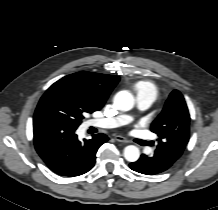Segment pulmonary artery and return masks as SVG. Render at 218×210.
Listing matches in <instances>:
<instances>
[{
  "label": "pulmonary artery",
  "instance_id": "e3ab8cb5",
  "mask_svg": "<svg viewBox=\"0 0 218 210\" xmlns=\"http://www.w3.org/2000/svg\"><path fill=\"white\" fill-rule=\"evenodd\" d=\"M154 95L149 91H143L137 96V107L139 110H147L154 102ZM132 118L127 115H121L112 118L95 119L89 122L90 126L99 128H116L128 124Z\"/></svg>",
  "mask_w": 218,
  "mask_h": 210
}]
</instances>
